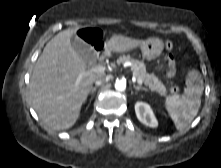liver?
I'll return each instance as SVG.
<instances>
[{"mask_svg":"<svg viewBox=\"0 0 221 168\" xmlns=\"http://www.w3.org/2000/svg\"><path fill=\"white\" fill-rule=\"evenodd\" d=\"M76 31L63 30L46 44L30 79L32 106L40 119L54 130L69 129L76 123L92 84L98 76L105 75L104 72L86 71V62L71 45V37ZM143 42L113 35L106 47L109 52L124 53Z\"/></svg>","mask_w":221,"mask_h":168,"instance_id":"1","label":"liver"}]
</instances>
